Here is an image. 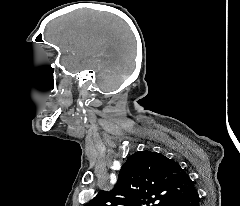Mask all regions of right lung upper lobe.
Returning a JSON list of instances; mask_svg holds the SVG:
<instances>
[{
  "mask_svg": "<svg viewBox=\"0 0 240 206\" xmlns=\"http://www.w3.org/2000/svg\"><path fill=\"white\" fill-rule=\"evenodd\" d=\"M192 189L178 163L157 152L137 151L121 168L113 189L99 191L86 206H167Z\"/></svg>",
  "mask_w": 240,
  "mask_h": 206,
  "instance_id": "right-lung-upper-lobe-1",
  "label": "right lung upper lobe"
}]
</instances>
